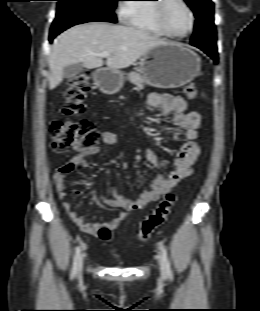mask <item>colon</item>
Listing matches in <instances>:
<instances>
[{"instance_id": "colon-1", "label": "colon", "mask_w": 260, "mask_h": 311, "mask_svg": "<svg viewBox=\"0 0 260 311\" xmlns=\"http://www.w3.org/2000/svg\"><path fill=\"white\" fill-rule=\"evenodd\" d=\"M87 91L88 75L81 73L73 76L64 93L62 114L68 118L83 114L85 111L84 97ZM184 92L189 99H194L198 94V88L191 83L186 85ZM50 137L52 149L61 151L70 148L86 150L95 147L98 145L101 135L88 119L76 121L66 119L55 120L51 123ZM177 200L178 197L175 193L164 195L156 209L141 222L137 237L139 243L147 242L154 230L166 222ZM96 236L107 241L111 236V230L106 226H100L96 231Z\"/></svg>"}]
</instances>
